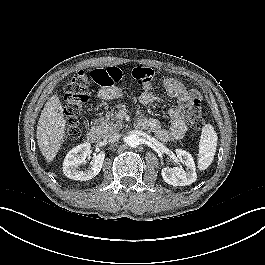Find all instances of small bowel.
<instances>
[{"mask_svg":"<svg viewBox=\"0 0 265 265\" xmlns=\"http://www.w3.org/2000/svg\"><path fill=\"white\" fill-rule=\"evenodd\" d=\"M142 71L144 81L141 82V92L139 94V102L143 106L150 105L159 100V97L151 92L152 74L148 68H136ZM166 92L177 99V107L169 111L171 125L166 128L158 119L142 117L138 125L150 129L158 138L164 141H177L184 137L186 132V124L184 121V109L193 99L197 98V93L187 89L180 81L174 78L164 80ZM98 97L103 100L116 99L121 97L122 91L115 85L104 86L98 93Z\"/></svg>","mask_w":265,"mask_h":265,"instance_id":"c3829d8e","label":"small bowel"}]
</instances>
